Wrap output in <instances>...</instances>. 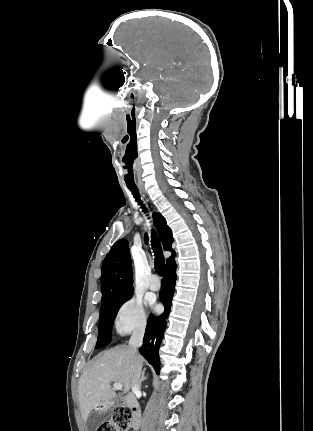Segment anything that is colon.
<instances>
[{
  "label": "colon",
  "mask_w": 313,
  "mask_h": 431,
  "mask_svg": "<svg viewBox=\"0 0 313 431\" xmlns=\"http://www.w3.org/2000/svg\"><path fill=\"white\" fill-rule=\"evenodd\" d=\"M133 417L129 407L119 405L97 431H132Z\"/></svg>",
  "instance_id": "obj_1"
}]
</instances>
